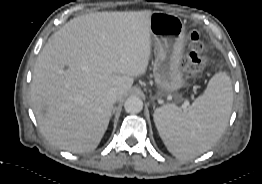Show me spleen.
Segmentation results:
<instances>
[{"instance_id":"spleen-1","label":"spleen","mask_w":262,"mask_h":184,"mask_svg":"<svg viewBox=\"0 0 262 184\" xmlns=\"http://www.w3.org/2000/svg\"><path fill=\"white\" fill-rule=\"evenodd\" d=\"M232 105L230 77L218 72L187 110L166 104L154 111L153 119L168 151L179 159L189 160L218 142L228 124Z\"/></svg>"}]
</instances>
